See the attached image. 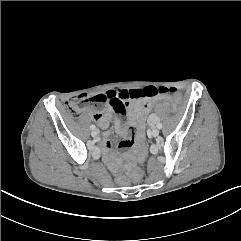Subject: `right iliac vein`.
<instances>
[{
    "instance_id": "1",
    "label": "right iliac vein",
    "mask_w": 241,
    "mask_h": 241,
    "mask_svg": "<svg viewBox=\"0 0 241 241\" xmlns=\"http://www.w3.org/2000/svg\"><path fill=\"white\" fill-rule=\"evenodd\" d=\"M91 135H92V137H97V136H98V130H97V129H94V130L91 132Z\"/></svg>"
}]
</instances>
